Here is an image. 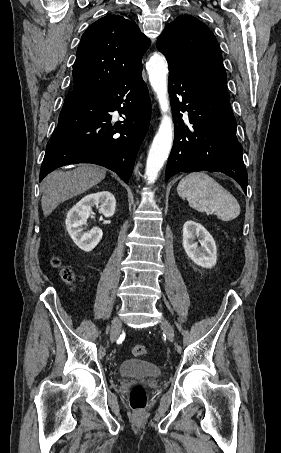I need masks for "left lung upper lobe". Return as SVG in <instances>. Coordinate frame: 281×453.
Here are the masks:
<instances>
[{
  "instance_id": "obj_1",
  "label": "left lung upper lobe",
  "mask_w": 281,
  "mask_h": 453,
  "mask_svg": "<svg viewBox=\"0 0 281 453\" xmlns=\"http://www.w3.org/2000/svg\"><path fill=\"white\" fill-rule=\"evenodd\" d=\"M169 66L197 77L226 79L220 46L209 28L191 15L178 16L157 41Z\"/></svg>"
}]
</instances>
